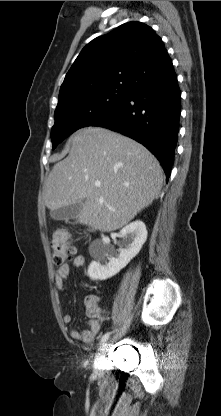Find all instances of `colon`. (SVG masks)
Returning <instances> with one entry per match:
<instances>
[{"instance_id":"5ec220e1","label":"colon","mask_w":221,"mask_h":416,"mask_svg":"<svg viewBox=\"0 0 221 416\" xmlns=\"http://www.w3.org/2000/svg\"><path fill=\"white\" fill-rule=\"evenodd\" d=\"M50 247L55 264L65 262L66 259L75 252V248L72 245L69 235L64 231L54 232Z\"/></svg>"}]
</instances>
